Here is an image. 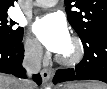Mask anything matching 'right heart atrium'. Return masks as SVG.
I'll return each mask as SVG.
<instances>
[{
	"label": "right heart atrium",
	"mask_w": 107,
	"mask_h": 89,
	"mask_svg": "<svg viewBox=\"0 0 107 89\" xmlns=\"http://www.w3.org/2000/svg\"><path fill=\"white\" fill-rule=\"evenodd\" d=\"M24 54L29 61L34 63L40 62L43 58L40 43L29 34L24 39Z\"/></svg>",
	"instance_id": "1"
}]
</instances>
